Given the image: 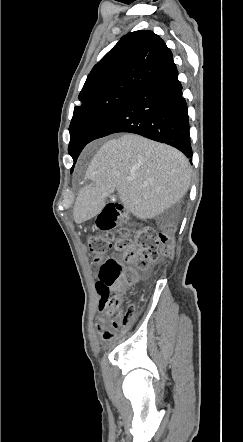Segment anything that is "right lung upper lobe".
<instances>
[{
    "mask_svg": "<svg viewBox=\"0 0 243 442\" xmlns=\"http://www.w3.org/2000/svg\"><path fill=\"white\" fill-rule=\"evenodd\" d=\"M173 55L151 31L128 33L93 67L79 94L82 102L117 90H134L172 65Z\"/></svg>",
    "mask_w": 243,
    "mask_h": 442,
    "instance_id": "right-lung-upper-lobe-1",
    "label": "right lung upper lobe"
}]
</instances>
